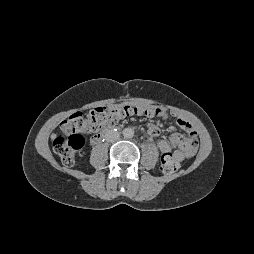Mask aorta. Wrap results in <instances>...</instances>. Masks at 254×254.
I'll return each instance as SVG.
<instances>
[{"instance_id": "aorta-1", "label": "aorta", "mask_w": 254, "mask_h": 254, "mask_svg": "<svg viewBox=\"0 0 254 254\" xmlns=\"http://www.w3.org/2000/svg\"><path fill=\"white\" fill-rule=\"evenodd\" d=\"M122 134L124 136V138H133L134 136V130L132 128H125L123 131H122Z\"/></svg>"}]
</instances>
